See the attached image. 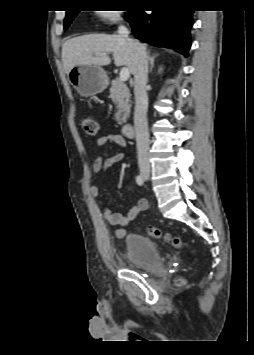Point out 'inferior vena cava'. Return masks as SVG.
<instances>
[{"mask_svg": "<svg viewBox=\"0 0 254 355\" xmlns=\"http://www.w3.org/2000/svg\"><path fill=\"white\" fill-rule=\"evenodd\" d=\"M118 34L131 42L135 50L134 94L135 111L134 125L138 152V164L141 169H150L149 163V132L147 124L148 97L146 93L148 58L146 50L140 44L129 39V31L124 25L118 28Z\"/></svg>", "mask_w": 254, "mask_h": 355, "instance_id": "inferior-vena-cava-1", "label": "inferior vena cava"}]
</instances>
